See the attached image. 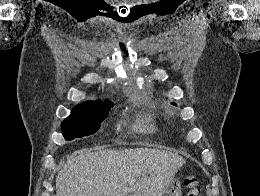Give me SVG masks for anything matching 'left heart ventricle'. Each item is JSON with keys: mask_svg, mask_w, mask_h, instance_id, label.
I'll return each instance as SVG.
<instances>
[{"mask_svg": "<svg viewBox=\"0 0 260 196\" xmlns=\"http://www.w3.org/2000/svg\"><path fill=\"white\" fill-rule=\"evenodd\" d=\"M116 190H87V192H115Z\"/></svg>", "mask_w": 260, "mask_h": 196, "instance_id": "1", "label": "left heart ventricle"}]
</instances>
